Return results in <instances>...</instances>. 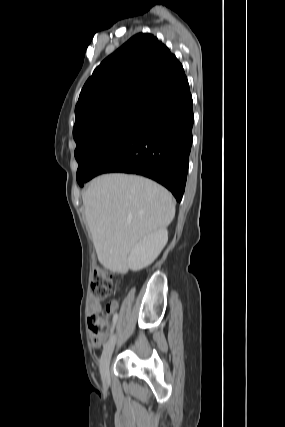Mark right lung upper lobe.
<instances>
[{
  "mask_svg": "<svg viewBox=\"0 0 285 427\" xmlns=\"http://www.w3.org/2000/svg\"><path fill=\"white\" fill-rule=\"evenodd\" d=\"M184 74L174 54L154 35L138 33L109 55L87 80L75 107L73 132L127 106L145 105Z\"/></svg>",
  "mask_w": 285,
  "mask_h": 427,
  "instance_id": "obj_1",
  "label": "right lung upper lobe"
}]
</instances>
